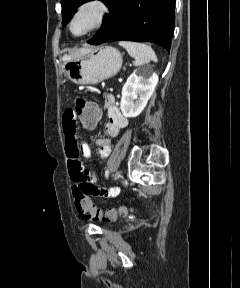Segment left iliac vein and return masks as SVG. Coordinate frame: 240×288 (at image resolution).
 Listing matches in <instances>:
<instances>
[{"mask_svg":"<svg viewBox=\"0 0 240 288\" xmlns=\"http://www.w3.org/2000/svg\"><path fill=\"white\" fill-rule=\"evenodd\" d=\"M119 177H120V171H117V172L115 173L114 179H115V180H118Z\"/></svg>","mask_w":240,"mask_h":288,"instance_id":"1","label":"left iliac vein"}]
</instances>
